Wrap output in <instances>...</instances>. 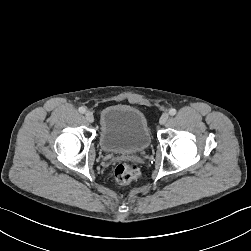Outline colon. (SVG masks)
Listing matches in <instances>:
<instances>
[{
	"instance_id": "obj_1",
	"label": "colon",
	"mask_w": 251,
	"mask_h": 251,
	"mask_svg": "<svg viewBox=\"0 0 251 251\" xmlns=\"http://www.w3.org/2000/svg\"><path fill=\"white\" fill-rule=\"evenodd\" d=\"M116 180L121 184H128L140 177V169L135 164H118L114 170Z\"/></svg>"
}]
</instances>
